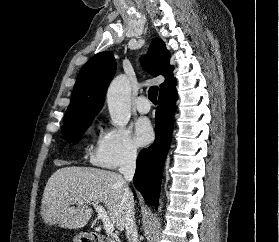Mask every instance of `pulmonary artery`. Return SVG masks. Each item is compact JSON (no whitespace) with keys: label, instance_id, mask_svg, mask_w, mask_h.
Instances as JSON below:
<instances>
[{"label":"pulmonary artery","instance_id":"1","mask_svg":"<svg viewBox=\"0 0 279 242\" xmlns=\"http://www.w3.org/2000/svg\"><path fill=\"white\" fill-rule=\"evenodd\" d=\"M136 109L140 113H148L151 109V105L149 100L146 96H139L136 100Z\"/></svg>","mask_w":279,"mask_h":242}]
</instances>
